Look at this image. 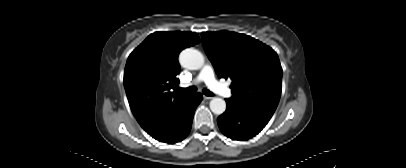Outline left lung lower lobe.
<instances>
[{
    "mask_svg": "<svg viewBox=\"0 0 406 168\" xmlns=\"http://www.w3.org/2000/svg\"><path fill=\"white\" fill-rule=\"evenodd\" d=\"M226 103L227 109L217 122L221 132L233 140L252 138L266 126L274 113L232 98L226 99Z\"/></svg>",
    "mask_w": 406,
    "mask_h": 168,
    "instance_id": "left-lung-lower-lobe-1",
    "label": "left lung lower lobe"
}]
</instances>
